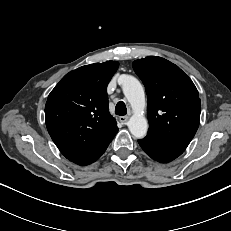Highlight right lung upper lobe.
Returning <instances> with one entry per match:
<instances>
[{
  "label": "right lung upper lobe",
  "mask_w": 231,
  "mask_h": 231,
  "mask_svg": "<svg viewBox=\"0 0 231 231\" xmlns=\"http://www.w3.org/2000/svg\"><path fill=\"white\" fill-rule=\"evenodd\" d=\"M118 66L117 61L82 66L66 74L48 96L47 130L60 152L78 165L95 162L118 131L107 95Z\"/></svg>",
  "instance_id": "right-lung-upper-lobe-1"
}]
</instances>
